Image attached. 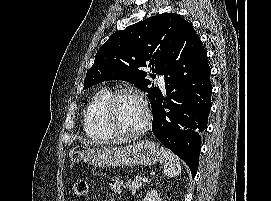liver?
Returning <instances> with one entry per match:
<instances>
[{"instance_id": "liver-1", "label": "liver", "mask_w": 271, "mask_h": 201, "mask_svg": "<svg viewBox=\"0 0 271 201\" xmlns=\"http://www.w3.org/2000/svg\"><path fill=\"white\" fill-rule=\"evenodd\" d=\"M129 141H130L129 139L125 138V139H122V140H114V141H111L110 143L111 144H120V143L125 144V143H127ZM84 143L88 144V143H91V142H84Z\"/></svg>"}]
</instances>
